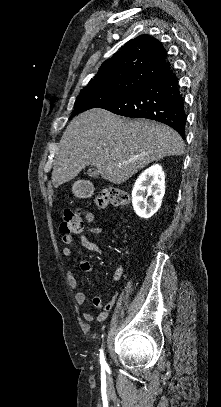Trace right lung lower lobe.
<instances>
[{
	"label": "right lung lower lobe",
	"instance_id": "1",
	"mask_svg": "<svg viewBox=\"0 0 221 407\" xmlns=\"http://www.w3.org/2000/svg\"><path fill=\"white\" fill-rule=\"evenodd\" d=\"M178 77L169 66L126 95L99 108L169 125L185 138L186 112Z\"/></svg>",
	"mask_w": 221,
	"mask_h": 407
}]
</instances>
